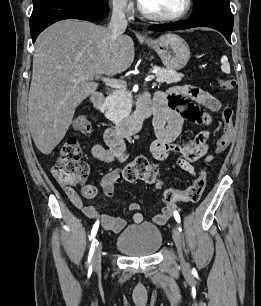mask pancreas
<instances>
[{
    "label": "pancreas",
    "mask_w": 261,
    "mask_h": 306,
    "mask_svg": "<svg viewBox=\"0 0 261 306\" xmlns=\"http://www.w3.org/2000/svg\"><path fill=\"white\" fill-rule=\"evenodd\" d=\"M153 69L157 71L158 83H177L184 77L183 74L177 73L171 69L160 68L153 66ZM106 109V117L112 122L119 124L122 122L131 112V96L124 86L113 90L104 102Z\"/></svg>",
    "instance_id": "obj_1"
}]
</instances>
